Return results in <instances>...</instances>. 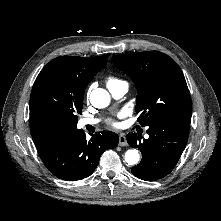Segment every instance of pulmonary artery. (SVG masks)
I'll return each instance as SVG.
<instances>
[{
	"label": "pulmonary artery",
	"mask_w": 221,
	"mask_h": 221,
	"mask_svg": "<svg viewBox=\"0 0 221 221\" xmlns=\"http://www.w3.org/2000/svg\"><path fill=\"white\" fill-rule=\"evenodd\" d=\"M108 89H109L111 95L115 99H119L126 94V92L128 90V85L126 82H121L117 85L108 86ZM98 122H99L98 119L85 118L80 121V125L81 126L95 125Z\"/></svg>",
	"instance_id": "pulmonary-artery-1"
}]
</instances>
